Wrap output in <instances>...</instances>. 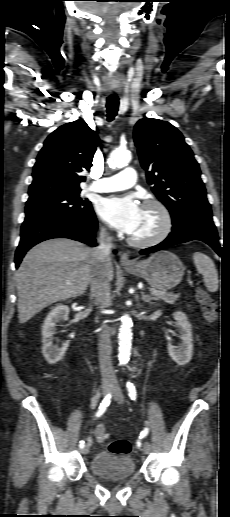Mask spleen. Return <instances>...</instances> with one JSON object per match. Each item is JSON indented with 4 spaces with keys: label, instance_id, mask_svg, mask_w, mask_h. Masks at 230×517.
Listing matches in <instances>:
<instances>
[{
    "label": "spleen",
    "instance_id": "1",
    "mask_svg": "<svg viewBox=\"0 0 230 517\" xmlns=\"http://www.w3.org/2000/svg\"><path fill=\"white\" fill-rule=\"evenodd\" d=\"M193 260L197 271L203 275L207 290L216 292L218 290V273L212 259L201 252H195Z\"/></svg>",
    "mask_w": 230,
    "mask_h": 517
}]
</instances>
